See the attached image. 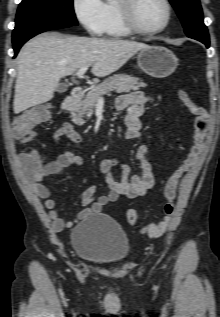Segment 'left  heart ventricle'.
<instances>
[{
	"label": "left heart ventricle",
	"instance_id": "1",
	"mask_svg": "<svg viewBox=\"0 0 220 317\" xmlns=\"http://www.w3.org/2000/svg\"><path fill=\"white\" fill-rule=\"evenodd\" d=\"M166 7L162 0H139L135 17L138 25L143 29H156L166 19Z\"/></svg>",
	"mask_w": 220,
	"mask_h": 317
}]
</instances>
